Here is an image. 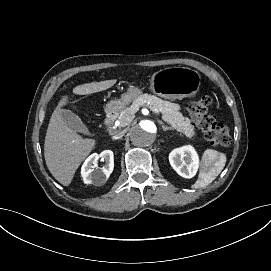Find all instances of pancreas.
<instances>
[{
	"label": "pancreas",
	"mask_w": 271,
	"mask_h": 271,
	"mask_svg": "<svg viewBox=\"0 0 271 271\" xmlns=\"http://www.w3.org/2000/svg\"><path fill=\"white\" fill-rule=\"evenodd\" d=\"M141 104L158 109L162 113L163 120L170 123L177 131L184 133L187 137L192 138L195 135L194 126L191 125L189 118L184 117L178 111L176 104H171L168 101H164L158 97L146 95L141 99ZM136 102L130 108H127L121 112L119 116V127H125L131 123L134 118L135 112L138 110Z\"/></svg>",
	"instance_id": "1"
}]
</instances>
